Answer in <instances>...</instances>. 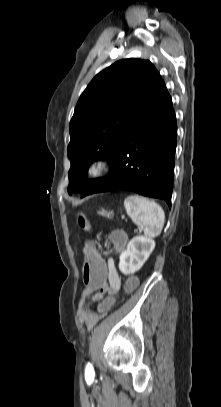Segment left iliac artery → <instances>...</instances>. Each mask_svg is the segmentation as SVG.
Returning <instances> with one entry per match:
<instances>
[{"label": "left iliac artery", "instance_id": "left-iliac-artery-1", "mask_svg": "<svg viewBox=\"0 0 221 407\" xmlns=\"http://www.w3.org/2000/svg\"><path fill=\"white\" fill-rule=\"evenodd\" d=\"M94 369L90 363L87 364L85 369V377L86 378H93L94 377Z\"/></svg>", "mask_w": 221, "mask_h": 407}]
</instances>
